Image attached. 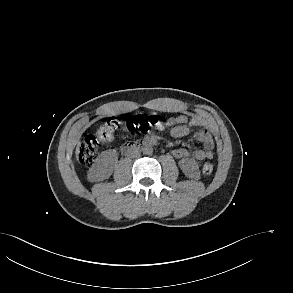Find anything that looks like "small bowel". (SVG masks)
Instances as JSON below:
<instances>
[{
	"label": "small bowel",
	"mask_w": 293,
	"mask_h": 293,
	"mask_svg": "<svg viewBox=\"0 0 293 293\" xmlns=\"http://www.w3.org/2000/svg\"><path fill=\"white\" fill-rule=\"evenodd\" d=\"M204 121L200 117H189L186 115H179L170 117L162 122L156 129L164 130L170 129V134L174 138H181L190 133L191 128L203 127ZM193 140L202 144L201 149L193 152L185 148H176L172 150V154L177 159H193L196 161L210 160L213 158L214 141L207 129L202 128L193 135Z\"/></svg>",
	"instance_id": "obj_1"
}]
</instances>
